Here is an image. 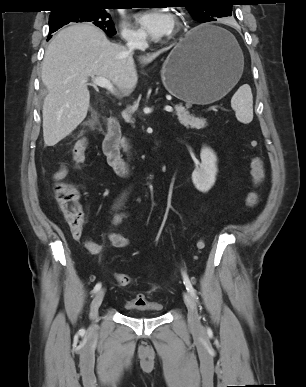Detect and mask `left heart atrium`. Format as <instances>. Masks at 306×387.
Instances as JSON below:
<instances>
[{
	"label": "left heart atrium",
	"mask_w": 306,
	"mask_h": 387,
	"mask_svg": "<svg viewBox=\"0 0 306 387\" xmlns=\"http://www.w3.org/2000/svg\"><path fill=\"white\" fill-rule=\"evenodd\" d=\"M137 23L141 30L152 38L167 36L174 29L172 16L161 9H153L140 14Z\"/></svg>",
	"instance_id": "39dd6f15"
}]
</instances>
